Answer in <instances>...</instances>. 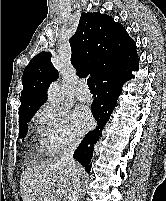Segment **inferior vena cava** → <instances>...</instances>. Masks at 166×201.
Wrapping results in <instances>:
<instances>
[{"label":"inferior vena cava","instance_id":"obj_1","mask_svg":"<svg viewBox=\"0 0 166 201\" xmlns=\"http://www.w3.org/2000/svg\"><path fill=\"white\" fill-rule=\"evenodd\" d=\"M79 139L76 138H70L67 141V144L64 148L61 161L67 162L69 166L73 169V186H72V191L71 194L68 198V201H79V193H80V173L76 170L77 169V163L75 162L73 158V154L75 150L77 149L79 145Z\"/></svg>","mask_w":166,"mask_h":201}]
</instances>
